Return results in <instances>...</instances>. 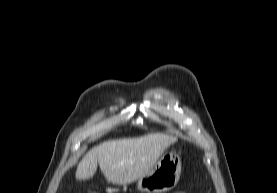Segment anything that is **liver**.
Returning a JSON list of instances; mask_svg holds the SVG:
<instances>
[{
	"label": "liver",
	"mask_w": 277,
	"mask_h": 193,
	"mask_svg": "<svg viewBox=\"0 0 277 193\" xmlns=\"http://www.w3.org/2000/svg\"><path fill=\"white\" fill-rule=\"evenodd\" d=\"M176 141V137L157 133L103 142L79 162L76 179H90L99 164L108 182L127 185L147 174L165 149Z\"/></svg>",
	"instance_id": "1"
}]
</instances>
